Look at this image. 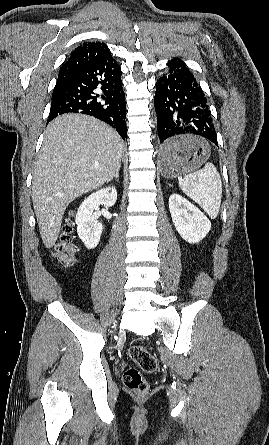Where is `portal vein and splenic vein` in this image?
Listing matches in <instances>:
<instances>
[{
	"label": "portal vein and splenic vein",
	"mask_w": 269,
	"mask_h": 445,
	"mask_svg": "<svg viewBox=\"0 0 269 445\" xmlns=\"http://www.w3.org/2000/svg\"><path fill=\"white\" fill-rule=\"evenodd\" d=\"M94 167H95V168H98L99 166H98V165H95Z\"/></svg>",
	"instance_id": "obj_1"
}]
</instances>
